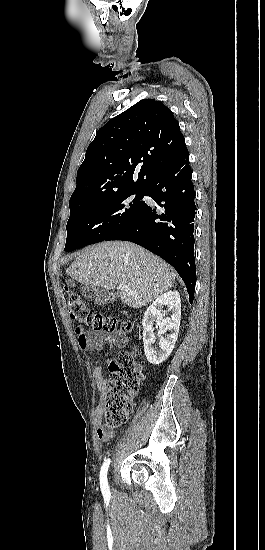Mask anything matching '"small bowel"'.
<instances>
[{"label":"small bowel","instance_id":"1","mask_svg":"<svg viewBox=\"0 0 265 550\" xmlns=\"http://www.w3.org/2000/svg\"><path fill=\"white\" fill-rule=\"evenodd\" d=\"M77 342L83 350H98L108 346V353H111L115 347H123L128 344L129 339L126 334L105 333V332H86L82 328H76ZM93 376L99 385L100 389L103 384V370L101 366L93 367ZM95 425L97 427V437L102 441H108L112 438L113 432L102 423V409L99 407L96 410Z\"/></svg>","mask_w":265,"mask_h":550}]
</instances>
